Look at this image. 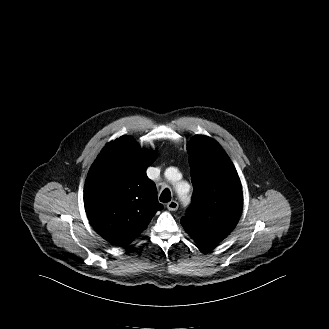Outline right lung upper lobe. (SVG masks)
I'll return each mask as SVG.
<instances>
[{
	"label": "right lung upper lobe",
	"mask_w": 329,
	"mask_h": 329,
	"mask_svg": "<svg viewBox=\"0 0 329 329\" xmlns=\"http://www.w3.org/2000/svg\"><path fill=\"white\" fill-rule=\"evenodd\" d=\"M155 158V152L122 136L104 147L88 172L84 203L90 224L116 246L130 244L163 208L146 175Z\"/></svg>",
	"instance_id": "cb5924a9"
}]
</instances>
